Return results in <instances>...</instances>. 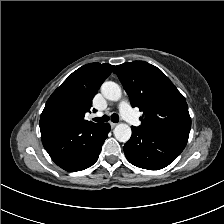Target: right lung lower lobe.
Wrapping results in <instances>:
<instances>
[{"label": "right lung lower lobe", "mask_w": 224, "mask_h": 224, "mask_svg": "<svg viewBox=\"0 0 224 224\" xmlns=\"http://www.w3.org/2000/svg\"><path fill=\"white\" fill-rule=\"evenodd\" d=\"M41 139L51 159L69 172L84 170L98 159L110 125H78L51 118L40 119Z\"/></svg>", "instance_id": "1"}]
</instances>
